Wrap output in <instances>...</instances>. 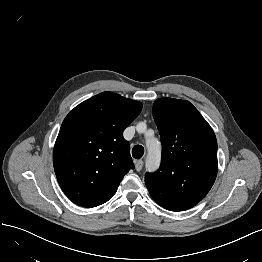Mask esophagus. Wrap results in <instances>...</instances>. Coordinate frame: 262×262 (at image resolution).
<instances>
[{
    "instance_id": "34e87169",
    "label": "esophagus",
    "mask_w": 262,
    "mask_h": 262,
    "mask_svg": "<svg viewBox=\"0 0 262 262\" xmlns=\"http://www.w3.org/2000/svg\"><path fill=\"white\" fill-rule=\"evenodd\" d=\"M142 167H143V161L142 160H137L135 162V169L136 171H141L142 170Z\"/></svg>"
}]
</instances>
